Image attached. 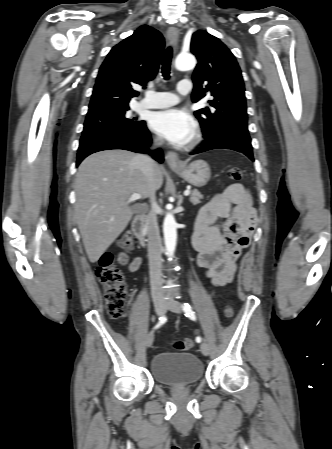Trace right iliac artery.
<instances>
[{"mask_svg":"<svg viewBox=\"0 0 332 449\" xmlns=\"http://www.w3.org/2000/svg\"><path fill=\"white\" fill-rule=\"evenodd\" d=\"M166 321V317L165 316H161L159 318V322L157 323V325L154 327L155 329L159 328L162 324H164Z\"/></svg>","mask_w":332,"mask_h":449,"instance_id":"1","label":"right iliac artery"}]
</instances>
